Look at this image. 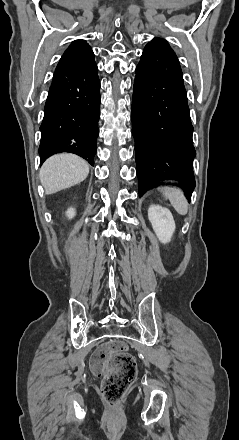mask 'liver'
Listing matches in <instances>:
<instances>
[{"instance_id": "liver-1", "label": "liver", "mask_w": 239, "mask_h": 440, "mask_svg": "<svg viewBox=\"0 0 239 440\" xmlns=\"http://www.w3.org/2000/svg\"><path fill=\"white\" fill-rule=\"evenodd\" d=\"M89 166L74 154H56L44 162L40 170V182L45 194H55L86 180Z\"/></svg>"}]
</instances>
